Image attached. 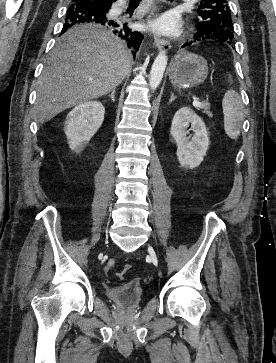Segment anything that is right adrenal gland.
Masks as SVG:
<instances>
[{
    "mask_svg": "<svg viewBox=\"0 0 276 363\" xmlns=\"http://www.w3.org/2000/svg\"><path fill=\"white\" fill-rule=\"evenodd\" d=\"M115 90H113L112 92H111V94L109 95V97L111 98V100L113 101V102H115Z\"/></svg>",
    "mask_w": 276,
    "mask_h": 363,
    "instance_id": "2a0ac1e0",
    "label": "right adrenal gland"
}]
</instances>
